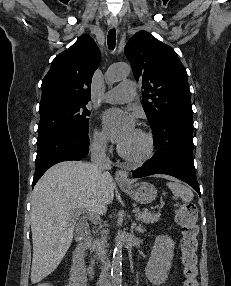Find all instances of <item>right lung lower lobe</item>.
Listing matches in <instances>:
<instances>
[{
  "mask_svg": "<svg viewBox=\"0 0 231 286\" xmlns=\"http://www.w3.org/2000/svg\"><path fill=\"white\" fill-rule=\"evenodd\" d=\"M88 132L61 130L37 140L36 170L32 187L44 172L56 163L81 160L89 151Z\"/></svg>",
  "mask_w": 231,
  "mask_h": 286,
  "instance_id": "1",
  "label": "right lung lower lobe"
}]
</instances>
